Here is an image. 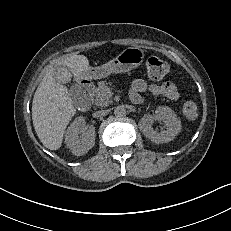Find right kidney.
Instances as JSON below:
<instances>
[{
    "label": "right kidney",
    "instance_id": "right-kidney-1",
    "mask_svg": "<svg viewBox=\"0 0 231 231\" xmlns=\"http://www.w3.org/2000/svg\"><path fill=\"white\" fill-rule=\"evenodd\" d=\"M95 136V127L86 125L85 118L79 116L74 119L67 129L65 136L66 146L74 155H84L94 146Z\"/></svg>",
    "mask_w": 231,
    "mask_h": 231
}]
</instances>
